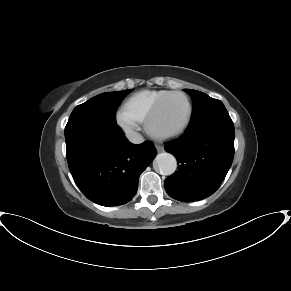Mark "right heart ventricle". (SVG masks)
<instances>
[{
    "label": "right heart ventricle",
    "instance_id": "right-heart-ventricle-1",
    "mask_svg": "<svg viewBox=\"0 0 291 291\" xmlns=\"http://www.w3.org/2000/svg\"><path fill=\"white\" fill-rule=\"evenodd\" d=\"M168 92L167 90H143L134 93L126 99L124 109L138 121H144L156 102Z\"/></svg>",
    "mask_w": 291,
    "mask_h": 291
}]
</instances>
